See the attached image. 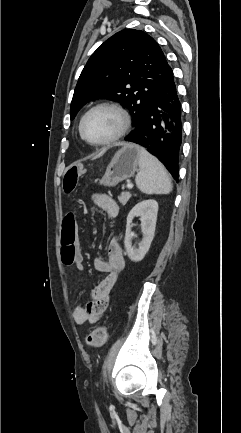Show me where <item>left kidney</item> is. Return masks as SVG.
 Wrapping results in <instances>:
<instances>
[{"mask_svg": "<svg viewBox=\"0 0 241 433\" xmlns=\"http://www.w3.org/2000/svg\"><path fill=\"white\" fill-rule=\"evenodd\" d=\"M158 213V203L155 200H145L136 204L127 216V225L124 245L128 257L133 262L141 261L148 252L154 238ZM140 216L142 219L141 230L143 238L136 249L132 245L133 234L131 232L134 217Z\"/></svg>", "mask_w": 241, "mask_h": 433, "instance_id": "1", "label": "left kidney"}]
</instances>
